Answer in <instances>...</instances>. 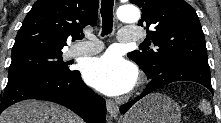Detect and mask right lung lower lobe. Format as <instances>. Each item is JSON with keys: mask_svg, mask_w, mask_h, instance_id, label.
Segmentation results:
<instances>
[{"mask_svg": "<svg viewBox=\"0 0 221 123\" xmlns=\"http://www.w3.org/2000/svg\"><path fill=\"white\" fill-rule=\"evenodd\" d=\"M26 99L64 105L87 123L105 122V100L84 84L79 71L65 75L32 71L8 77L0 113L8 106Z\"/></svg>", "mask_w": 221, "mask_h": 123, "instance_id": "right-lung-lower-lobe-1", "label": "right lung lower lobe"}]
</instances>
